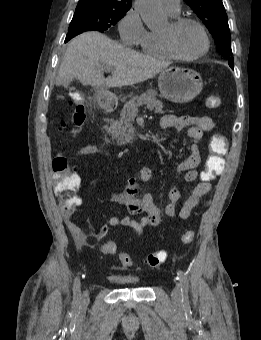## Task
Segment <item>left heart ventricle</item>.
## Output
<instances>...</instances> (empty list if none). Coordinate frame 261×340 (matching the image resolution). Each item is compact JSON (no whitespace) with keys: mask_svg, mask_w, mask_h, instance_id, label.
Listing matches in <instances>:
<instances>
[{"mask_svg":"<svg viewBox=\"0 0 261 340\" xmlns=\"http://www.w3.org/2000/svg\"><path fill=\"white\" fill-rule=\"evenodd\" d=\"M169 29V24L162 32ZM174 46L177 51L186 56L199 53L204 47V38L197 26L187 23L176 29L173 33Z\"/></svg>","mask_w":261,"mask_h":340,"instance_id":"b2bd125f","label":"left heart ventricle"}]
</instances>
